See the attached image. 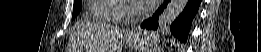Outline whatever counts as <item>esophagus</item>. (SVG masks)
<instances>
[{
    "label": "esophagus",
    "instance_id": "obj_1",
    "mask_svg": "<svg viewBox=\"0 0 261 52\" xmlns=\"http://www.w3.org/2000/svg\"><path fill=\"white\" fill-rule=\"evenodd\" d=\"M139 31H140L139 28H134V29H131L129 33H130L131 35H135V34L138 33Z\"/></svg>",
    "mask_w": 261,
    "mask_h": 52
}]
</instances>
